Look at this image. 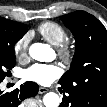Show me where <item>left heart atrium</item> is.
Masks as SVG:
<instances>
[{
  "label": "left heart atrium",
  "mask_w": 107,
  "mask_h": 107,
  "mask_svg": "<svg viewBox=\"0 0 107 107\" xmlns=\"http://www.w3.org/2000/svg\"><path fill=\"white\" fill-rule=\"evenodd\" d=\"M60 74V68L54 64H34L24 70L23 78L46 86L59 78Z\"/></svg>",
  "instance_id": "left-heart-atrium-1"
}]
</instances>
